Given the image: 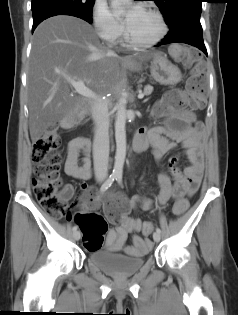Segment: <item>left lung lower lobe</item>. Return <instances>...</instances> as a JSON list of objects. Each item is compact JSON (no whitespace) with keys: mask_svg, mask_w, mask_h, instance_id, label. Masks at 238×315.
I'll return each mask as SVG.
<instances>
[{"mask_svg":"<svg viewBox=\"0 0 238 315\" xmlns=\"http://www.w3.org/2000/svg\"><path fill=\"white\" fill-rule=\"evenodd\" d=\"M181 42L199 48L207 55L202 36V26L200 24V14H190L181 18L178 23L169 29V33L157 46Z\"/></svg>","mask_w":238,"mask_h":315,"instance_id":"left-lung-lower-lobe-1","label":"left lung lower lobe"}]
</instances>
